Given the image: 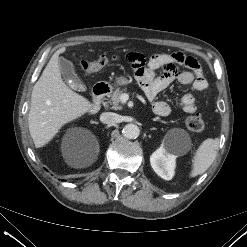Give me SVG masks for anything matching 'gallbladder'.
<instances>
[{"instance_id": "1", "label": "gallbladder", "mask_w": 247, "mask_h": 247, "mask_svg": "<svg viewBox=\"0 0 247 247\" xmlns=\"http://www.w3.org/2000/svg\"><path fill=\"white\" fill-rule=\"evenodd\" d=\"M58 64L60 67L63 79L75 90H80L82 83L78 75L74 71L72 62L65 59L64 57L58 58Z\"/></svg>"}]
</instances>
